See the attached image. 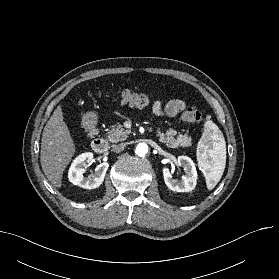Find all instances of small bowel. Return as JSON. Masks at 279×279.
I'll list each match as a JSON object with an SVG mask.
<instances>
[{"label": "small bowel", "mask_w": 279, "mask_h": 279, "mask_svg": "<svg viewBox=\"0 0 279 279\" xmlns=\"http://www.w3.org/2000/svg\"><path fill=\"white\" fill-rule=\"evenodd\" d=\"M186 107V103L180 99L170 100L163 105L160 101H156L153 105L152 111L155 116L175 117Z\"/></svg>", "instance_id": "c3829d8e"}]
</instances>
